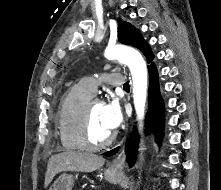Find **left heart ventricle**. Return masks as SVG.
<instances>
[{
    "label": "left heart ventricle",
    "instance_id": "left-heart-ventricle-1",
    "mask_svg": "<svg viewBox=\"0 0 221 190\" xmlns=\"http://www.w3.org/2000/svg\"><path fill=\"white\" fill-rule=\"evenodd\" d=\"M91 138L98 142L107 138L112 131L107 129L102 116V104H95L91 109Z\"/></svg>",
    "mask_w": 221,
    "mask_h": 190
}]
</instances>
